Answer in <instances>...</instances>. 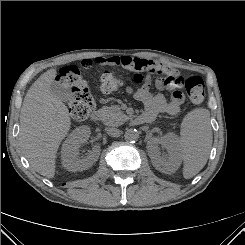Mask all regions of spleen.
Returning <instances> with one entry per match:
<instances>
[{
  "label": "spleen",
  "instance_id": "1",
  "mask_svg": "<svg viewBox=\"0 0 245 245\" xmlns=\"http://www.w3.org/2000/svg\"><path fill=\"white\" fill-rule=\"evenodd\" d=\"M210 113L205 108L189 112L181 123L180 147L184 161L183 176H195L206 164L212 146Z\"/></svg>",
  "mask_w": 245,
  "mask_h": 245
}]
</instances>
